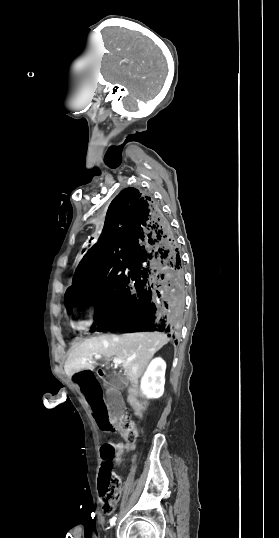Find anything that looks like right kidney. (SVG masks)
<instances>
[{
	"label": "right kidney",
	"instance_id": "obj_1",
	"mask_svg": "<svg viewBox=\"0 0 279 538\" xmlns=\"http://www.w3.org/2000/svg\"><path fill=\"white\" fill-rule=\"evenodd\" d=\"M166 364L161 358H155L149 364L142 380L141 390L147 398H160L164 392Z\"/></svg>",
	"mask_w": 279,
	"mask_h": 538
}]
</instances>
